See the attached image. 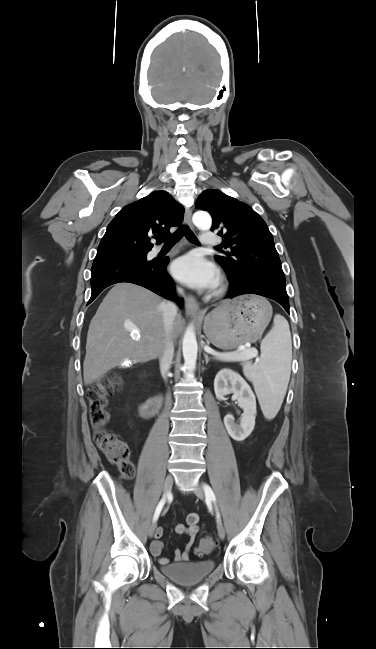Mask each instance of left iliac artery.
I'll use <instances>...</instances> for the list:
<instances>
[{"mask_svg": "<svg viewBox=\"0 0 376 649\" xmlns=\"http://www.w3.org/2000/svg\"><path fill=\"white\" fill-rule=\"evenodd\" d=\"M204 491H205L206 498L212 500L216 505V497H215L214 492L211 489V487L208 486V485H204ZM216 509H217V507H216ZM217 518L220 519V515H219L218 510H217Z\"/></svg>", "mask_w": 376, "mask_h": 649, "instance_id": "left-iliac-artery-1", "label": "left iliac artery"}]
</instances>
